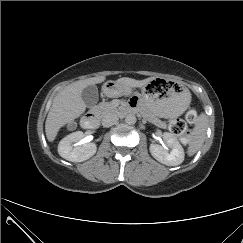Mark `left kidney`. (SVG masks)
<instances>
[{
    "label": "left kidney",
    "instance_id": "5707ae66",
    "mask_svg": "<svg viewBox=\"0 0 243 243\" xmlns=\"http://www.w3.org/2000/svg\"><path fill=\"white\" fill-rule=\"evenodd\" d=\"M163 140L167 147L171 149L169 153L168 148H164L158 144L150 145L151 155L162 164L167 166H177L184 161V149L178 139L171 133L165 132Z\"/></svg>",
    "mask_w": 243,
    "mask_h": 243
}]
</instances>
